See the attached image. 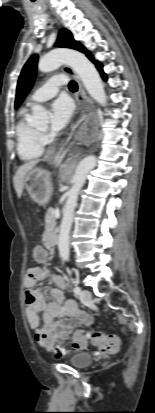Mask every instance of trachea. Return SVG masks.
Segmentation results:
<instances>
[{"label": "trachea", "instance_id": "3493384b", "mask_svg": "<svg viewBox=\"0 0 155 413\" xmlns=\"http://www.w3.org/2000/svg\"><path fill=\"white\" fill-rule=\"evenodd\" d=\"M69 89L70 90H76L77 89V83L75 81H70Z\"/></svg>", "mask_w": 155, "mask_h": 413}]
</instances>
